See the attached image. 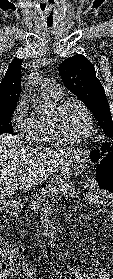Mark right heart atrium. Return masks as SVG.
Segmentation results:
<instances>
[{"instance_id": "obj_1", "label": "right heart atrium", "mask_w": 113, "mask_h": 279, "mask_svg": "<svg viewBox=\"0 0 113 279\" xmlns=\"http://www.w3.org/2000/svg\"><path fill=\"white\" fill-rule=\"evenodd\" d=\"M11 123L13 129L19 134L25 135L28 134L31 124L32 117L29 115L27 99L26 97H22L11 117Z\"/></svg>"}]
</instances>
